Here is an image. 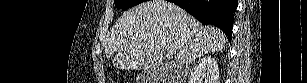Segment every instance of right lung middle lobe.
Returning <instances> with one entry per match:
<instances>
[{"label": "right lung middle lobe", "instance_id": "obj_1", "mask_svg": "<svg viewBox=\"0 0 307 83\" xmlns=\"http://www.w3.org/2000/svg\"><path fill=\"white\" fill-rule=\"evenodd\" d=\"M142 2H144V0H115L114 1L117 9H122V10H127Z\"/></svg>", "mask_w": 307, "mask_h": 83}]
</instances>
